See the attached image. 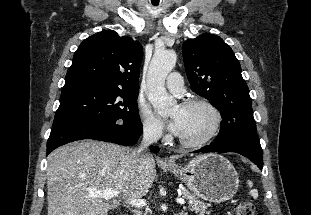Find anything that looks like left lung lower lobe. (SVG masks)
Returning a JSON list of instances; mask_svg holds the SVG:
<instances>
[{
    "label": "left lung lower lobe",
    "mask_w": 311,
    "mask_h": 215,
    "mask_svg": "<svg viewBox=\"0 0 311 215\" xmlns=\"http://www.w3.org/2000/svg\"><path fill=\"white\" fill-rule=\"evenodd\" d=\"M196 152H236L249 158L260 169L263 167V151L255 135L231 136L218 142L214 141Z\"/></svg>",
    "instance_id": "obj_1"
}]
</instances>
